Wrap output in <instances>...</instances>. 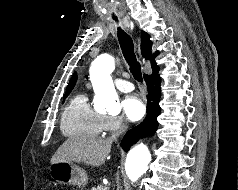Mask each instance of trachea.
I'll list each match as a JSON object with an SVG mask.
<instances>
[{
	"instance_id": "trachea-1",
	"label": "trachea",
	"mask_w": 238,
	"mask_h": 190,
	"mask_svg": "<svg viewBox=\"0 0 238 190\" xmlns=\"http://www.w3.org/2000/svg\"><path fill=\"white\" fill-rule=\"evenodd\" d=\"M118 40L122 49V53L124 58L126 59L127 63L130 66V72L132 73L133 77L142 82V72L141 66L139 62L136 60V56L134 53V44L132 38L124 32L121 28H118Z\"/></svg>"
}]
</instances>
